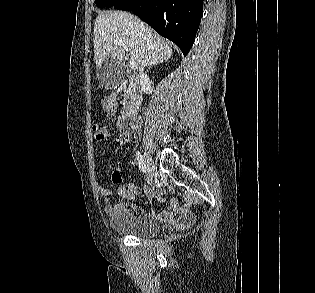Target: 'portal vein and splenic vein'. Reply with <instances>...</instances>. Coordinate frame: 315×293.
<instances>
[{"label":"portal vein and splenic vein","instance_id":"portal-vein-and-splenic-vein-1","mask_svg":"<svg viewBox=\"0 0 315 293\" xmlns=\"http://www.w3.org/2000/svg\"><path fill=\"white\" fill-rule=\"evenodd\" d=\"M113 45H120V46H123L125 51L128 52V49L127 47L125 46V44L122 42V41H114ZM129 66H130V69L132 70H135L137 69V64L136 62L131 58L130 61H129Z\"/></svg>","mask_w":315,"mask_h":293}]
</instances>
